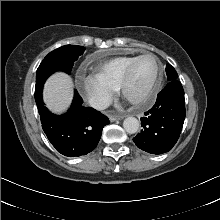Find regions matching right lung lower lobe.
<instances>
[{
  "label": "right lung lower lobe",
  "instance_id": "right-lung-lower-lobe-1",
  "mask_svg": "<svg viewBox=\"0 0 220 220\" xmlns=\"http://www.w3.org/2000/svg\"><path fill=\"white\" fill-rule=\"evenodd\" d=\"M43 86L35 91V101L42 128L55 149L69 157L85 155L97 146L103 127L110 123L101 112L82 106L83 100L75 90L73 103L67 113L54 115L44 106Z\"/></svg>",
  "mask_w": 220,
  "mask_h": 220
}]
</instances>
